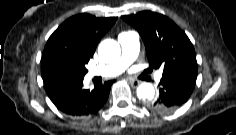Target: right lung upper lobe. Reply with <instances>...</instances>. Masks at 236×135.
<instances>
[{"label":"right lung upper lobe","mask_w":236,"mask_h":135,"mask_svg":"<svg viewBox=\"0 0 236 135\" xmlns=\"http://www.w3.org/2000/svg\"><path fill=\"white\" fill-rule=\"evenodd\" d=\"M117 17L96 18L78 14L64 21L50 36L43 55L51 50H62L90 59L102 36L116 22Z\"/></svg>","instance_id":"1"}]
</instances>
